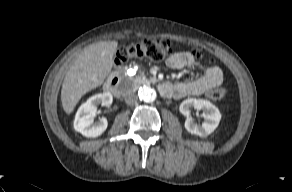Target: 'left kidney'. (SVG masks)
<instances>
[{"instance_id": "5707ae66", "label": "left kidney", "mask_w": 292, "mask_h": 192, "mask_svg": "<svg viewBox=\"0 0 292 192\" xmlns=\"http://www.w3.org/2000/svg\"><path fill=\"white\" fill-rule=\"evenodd\" d=\"M194 107L197 110H202L204 122L199 125L189 116L190 109ZM180 112L186 116L185 129L194 135L201 137L211 134L219 125L221 114L218 108L210 101L205 99L188 98L180 104Z\"/></svg>"}]
</instances>
